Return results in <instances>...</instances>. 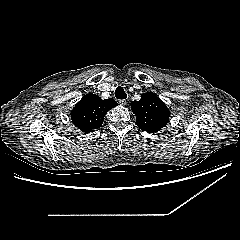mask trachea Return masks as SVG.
Listing matches in <instances>:
<instances>
[{
  "mask_svg": "<svg viewBox=\"0 0 240 240\" xmlns=\"http://www.w3.org/2000/svg\"><path fill=\"white\" fill-rule=\"evenodd\" d=\"M115 96L117 99H126L127 98V94L125 92V90L123 89V87L118 86L115 90Z\"/></svg>",
  "mask_w": 240,
  "mask_h": 240,
  "instance_id": "1",
  "label": "trachea"
}]
</instances>
